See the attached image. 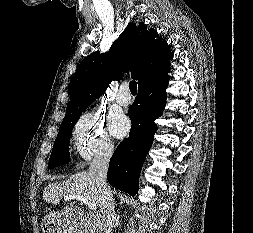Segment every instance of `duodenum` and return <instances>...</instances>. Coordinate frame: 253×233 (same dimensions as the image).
<instances>
[{"instance_id": "obj_1", "label": "duodenum", "mask_w": 253, "mask_h": 233, "mask_svg": "<svg viewBox=\"0 0 253 233\" xmlns=\"http://www.w3.org/2000/svg\"><path fill=\"white\" fill-rule=\"evenodd\" d=\"M106 223L100 215H94L90 218L88 228L89 229H105Z\"/></svg>"}]
</instances>
